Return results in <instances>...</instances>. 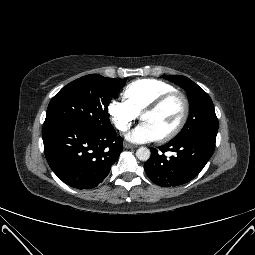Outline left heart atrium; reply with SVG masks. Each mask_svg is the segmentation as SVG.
Listing matches in <instances>:
<instances>
[{"label": "left heart atrium", "instance_id": "39dd6f15", "mask_svg": "<svg viewBox=\"0 0 255 255\" xmlns=\"http://www.w3.org/2000/svg\"><path fill=\"white\" fill-rule=\"evenodd\" d=\"M126 137L129 141L134 143H147V142H153L159 139V136L157 135V133L146 122L140 123Z\"/></svg>", "mask_w": 255, "mask_h": 255}]
</instances>
